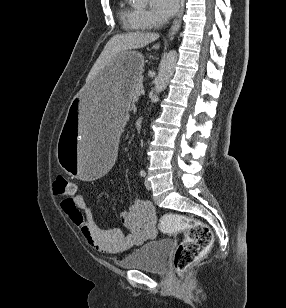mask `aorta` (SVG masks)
<instances>
[{
	"mask_svg": "<svg viewBox=\"0 0 286 308\" xmlns=\"http://www.w3.org/2000/svg\"><path fill=\"white\" fill-rule=\"evenodd\" d=\"M133 2L136 4H145L148 0H133ZM177 58V52L175 50H171L162 59L159 67V73L155 79L154 94L151 97V101L153 103L158 101L159 94L165 89L171 79L176 67Z\"/></svg>",
	"mask_w": 286,
	"mask_h": 308,
	"instance_id": "762f6f07",
	"label": "aorta"
}]
</instances>
